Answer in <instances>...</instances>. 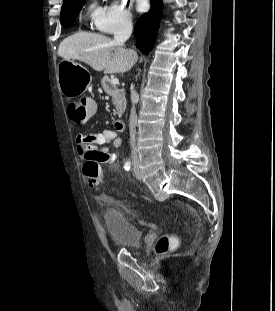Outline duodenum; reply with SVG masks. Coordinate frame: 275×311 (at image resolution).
<instances>
[{
	"label": "duodenum",
	"instance_id": "obj_1",
	"mask_svg": "<svg viewBox=\"0 0 275 311\" xmlns=\"http://www.w3.org/2000/svg\"><path fill=\"white\" fill-rule=\"evenodd\" d=\"M115 128L119 131H124L125 130V123L121 120L115 121Z\"/></svg>",
	"mask_w": 275,
	"mask_h": 311
}]
</instances>
